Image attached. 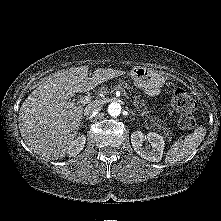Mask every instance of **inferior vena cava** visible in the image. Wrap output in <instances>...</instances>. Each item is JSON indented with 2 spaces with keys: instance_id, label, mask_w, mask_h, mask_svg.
<instances>
[{
  "instance_id": "obj_1",
  "label": "inferior vena cava",
  "mask_w": 221,
  "mask_h": 221,
  "mask_svg": "<svg viewBox=\"0 0 221 221\" xmlns=\"http://www.w3.org/2000/svg\"><path fill=\"white\" fill-rule=\"evenodd\" d=\"M102 107V103L100 101H93L88 104L84 110L85 114H91L94 111H97Z\"/></svg>"
}]
</instances>
